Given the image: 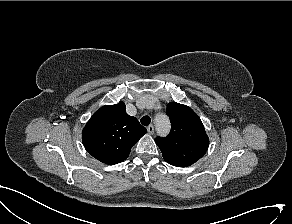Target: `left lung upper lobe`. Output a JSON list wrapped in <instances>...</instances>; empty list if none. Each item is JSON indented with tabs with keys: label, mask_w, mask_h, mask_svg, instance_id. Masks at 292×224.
I'll return each instance as SVG.
<instances>
[{
	"label": "left lung upper lobe",
	"mask_w": 292,
	"mask_h": 224,
	"mask_svg": "<svg viewBox=\"0 0 292 224\" xmlns=\"http://www.w3.org/2000/svg\"><path fill=\"white\" fill-rule=\"evenodd\" d=\"M166 114L171 121V132L155 143L164 160L177 167H186L204 156L209 138L199 116L188 106L176 102L167 105Z\"/></svg>",
	"instance_id": "left-lung-upper-lobe-1"
}]
</instances>
